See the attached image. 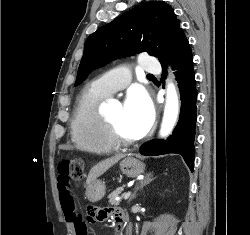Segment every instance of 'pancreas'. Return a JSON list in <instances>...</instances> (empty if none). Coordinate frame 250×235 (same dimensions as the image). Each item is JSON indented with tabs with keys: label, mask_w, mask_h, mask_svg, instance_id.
<instances>
[{
	"label": "pancreas",
	"mask_w": 250,
	"mask_h": 235,
	"mask_svg": "<svg viewBox=\"0 0 250 235\" xmlns=\"http://www.w3.org/2000/svg\"><path fill=\"white\" fill-rule=\"evenodd\" d=\"M123 190V187H120L118 189H116L115 191H113L109 196V204L110 205H118L119 204V201H116V197L122 192Z\"/></svg>",
	"instance_id": "pancreas-1"
}]
</instances>
